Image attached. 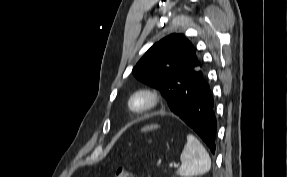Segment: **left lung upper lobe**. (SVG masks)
Here are the masks:
<instances>
[{
  "label": "left lung upper lobe",
  "instance_id": "1",
  "mask_svg": "<svg viewBox=\"0 0 287 177\" xmlns=\"http://www.w3.org/2000/svg\"><path fill=\"white\" fill-rule=\"evenodd\" d=\"M202 64L191 42L182 34H171L155 43L133 68L140 81L159 89L169 107L180 93L202 77Z\"/></svg>",
  "mask_w": 287,
  "mask_h": 177
}]
</instances>
